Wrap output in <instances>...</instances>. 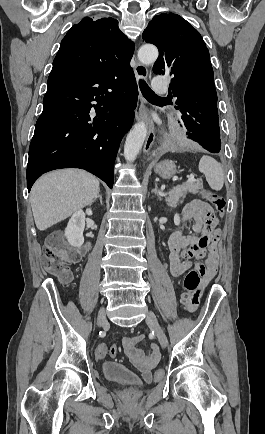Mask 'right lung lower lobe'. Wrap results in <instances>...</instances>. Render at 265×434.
I'll return each mask as SVG.
<instances>
[{"label": "right lung lower lobe", "instance_id": "1", "mask_svg": "<svg viewBox=\"0 0 265 434\" xmlns=\"http://www.w3.org/2000/svg\"><path fill=\"white\" fill-rule=\"evenodd\" d=\"M137 96L130 61L99 71L52 70L29 148L28 191L43 173L66 167L85 169L112 188L114 161L132 126Z\"/></svg>", "mask_w": 265, "mask_h": 434}]
</instances>
